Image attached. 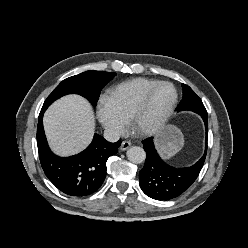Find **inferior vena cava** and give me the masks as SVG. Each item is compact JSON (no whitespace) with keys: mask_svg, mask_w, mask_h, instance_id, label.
<instances>
[{"mask_svg":"<svg viewBox=\"0 0 248 248\" xmlns=\"http://www.w3.org/2000/svg\"><path fill=\"white\" fill-rule=\"evenodd\" d=\"M104 138L109 142H116L120 138V133L112 128H107L104 130Z\"/></svg>","mask_w":248,"mask_h":248,"instance_id":"inferior-vena-cava-1","label":"inferior vena cava"}]
</instances>
